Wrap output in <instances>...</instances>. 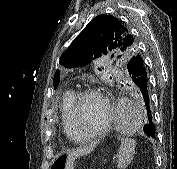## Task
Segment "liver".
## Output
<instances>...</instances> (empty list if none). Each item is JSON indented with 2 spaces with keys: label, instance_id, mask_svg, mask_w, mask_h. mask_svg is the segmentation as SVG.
Returning <instances> with one entry per match:
<instances>
[{
  "label": "liver",
  "instance_id": "6515ba94",
  "mask_svg": "<svg viewBox=\"0 0 177 169\" xmlns=\"http://www.w3.org/2000/svg\"><path fill=\"white\" fill-rule=\"evenodd\" d=\"M91 151V148H82L75 150L71 153L68 154L67 156V168L68 169H73V162L76 158L83 156Z\"/></svg>",
  "mask_w": 177,
  "mask_h": 169
}]
</instances>
